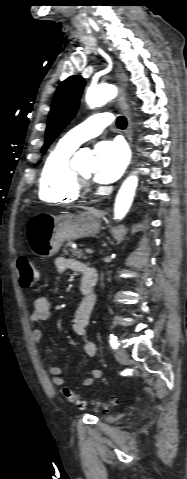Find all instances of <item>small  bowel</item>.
<instances>
[{"label":"small bowel","mask_w":187,"mask_h":479,"mask_svg":"<svg viewBox=\"0 0 187 479\" xmlns=\"http://www.w3.org/2000/svg\"><path fill=\"white\" fill-rule=\"evenodd\" d=\"M54 265L59 274H62L66 271H75L80 273L83 276V279L85 277L87 270L93 269L79 260H76L74 258L62 257V256L55 258ZM83 279L81 280V282L83 281ZM94 304H95L94 297L84 296L76 310L74 319L72 321V328L74 332L82 339L83 352L89 357H92L96 354L95 343L92 342L91 340H88L85 337V329L92 315ZM51 316H52L51 299L47 296H39L34 301L33 310L29 316V322L33 327L31 331V340L38 347H41V341H42V331H41L40 325L43 321L49 319ZM46 370L49 373L53 384L58 386H61L64 384V380L62 378V371L59 367L54 365H48L46 367ZM102 377H103L102 370H99V369L91 370L89 375L82 380L81 385L83 387H89L93 385V383L97 379H100Z\"/></svg>","instance_id":"1"}]
</instances>
